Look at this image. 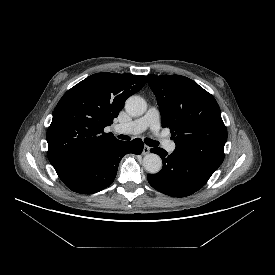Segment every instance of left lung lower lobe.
Here are the masks:
<instances>
[{"instance_id": "left-lung-lower-lobe-1", "label": "left lung lower lobe", "mask_w": 275, "mask_h": 275, "mask_svg": "<svg viewBox=\"0 0 275 275\" xmlns=\"http://www.w3.org/2000/svg\"><path fill=\"white\" fill-rule=\"evenodd\" d=\"M158 154L163 167L157 174H148L149 184L166 195L186 197L201 189L214 172L177 152L168 155L162 148L150 149Z\"/></svg>"}]
</instances>
